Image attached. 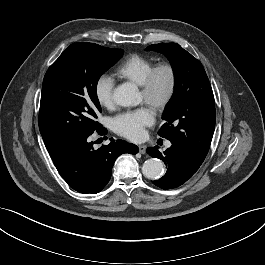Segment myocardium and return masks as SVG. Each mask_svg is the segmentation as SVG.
Wrapping results in <instances>:
<instances>
[{
    "instance_id": "myocardium-1",
    "label": "myocardium",
    "mask_w": 265,
    "mask_h": 265,
    "mask_svg": "<svg viewBox=\"0 0 265 265\" xmlns=\"http://www.w3.org/2000/svg\"><path fill=\"white\" fill-rule=\"evenodd\" d=\"M165 72L168 75V84L166 89L159 93L157 91V80L160 73ZM177 71L174 65L168 62L155 65L147 74L141 92L144 101L156 111H163L173 100L177 89Z\"/></svg>"
}]
</instances>
